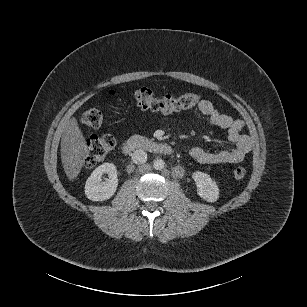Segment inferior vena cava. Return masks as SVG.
<instances>
[{"mask_svg":"<svg viewBox=\"0 0 307 307\" xmlns=\"http://www.w3.org/2000/svg\"><path fill=\"white\" fill-rule=\"evenodd\" d=\"M132 161L136 164H143L147 161V153L144 150L138 149L132 155Z\"/></svg>","mask_w":307,"mask_h":307,"instance_id":"1","label":"inferior vena cava"}]
</instances>
